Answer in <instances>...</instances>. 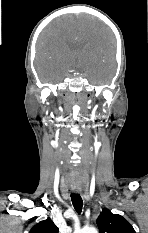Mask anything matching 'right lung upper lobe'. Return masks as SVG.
Wrapping results in <instances>:
<instances>
[{
	"label": "right lung upper lobe",
	"instance_id": "obj_1",
	"mask_svg": "<svg viewBox=\"0 0 148 233\" xmlns=\"http://www.w3.org/2000/svg\"><path fill=\"white\" fill-rule=\"evenodd\" d=\"M29 233H58V227L48 218L35 225Z\"/></svg>",
	"mask_w": 148,
	"mask_h": 233
}]
</instances>
